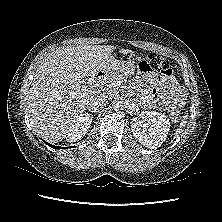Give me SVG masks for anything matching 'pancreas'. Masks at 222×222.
<instances>
[{
  "label": "pancreas",
  "instance_id": "obj_1",
  "mask_svg": "<svg viewBox=\"0 0 222 222\" xmlns=\"http://www.w3.org/2000/svg\"><path fill=\"white\" fill-rule=\"evenodd\" d=\"M123 80V77L119 73H112L110 74L106 81L104 82V93H108L111 95L116 94V83H121Z\"/></svg>",
  "mask_w": 222,
  "mask_h": 222
}]
</instances>
